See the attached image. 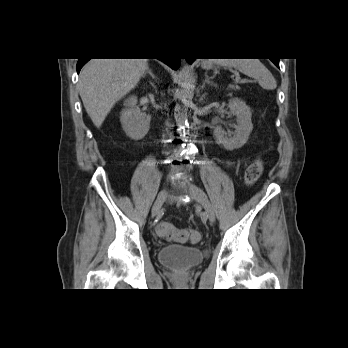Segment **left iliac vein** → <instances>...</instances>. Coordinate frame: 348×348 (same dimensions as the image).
Masks as SVG:
<instances>
[{
    "label": "left iliac vein",
    "mask_w": 348,
    "mask_h": 348,
    "mask_svg": "<svg viewBox=\"0 0 348 348\" xmlns=\"http://www.w3.org/2000/svg\"><path fill=\"white\" fill-rule=\"evenodd\" d=\"M184 184H185L184 187H185L186 192L198 204H200L204 208L205 213H206L209 221L211 223H214L216 220L215 211H214L213 206H212L211 202L209 201L206 193L194 184H191V183L186 182V181H184Z\"/></svg>",
    "instance_id": "4c4485c4"
}]
</instances>
